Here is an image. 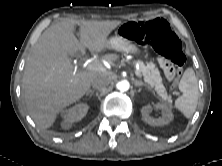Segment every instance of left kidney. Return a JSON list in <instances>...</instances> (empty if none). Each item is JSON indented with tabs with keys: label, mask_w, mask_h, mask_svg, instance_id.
I'll return each instance as SVG.
<instances>
[{
	"label": "left kidney",
	"mask_w": 222,
	"mask_h": 166,
	"mask_svg": "<svg viewBox=\"0 0 222 166\" xmlns=\"http://www.w3.org/2000/svg\"><path fill=\"white\" fill-rule=\"evenodd\" d=\"M155 107L162 111V117L154 119L149 115V112L151 110V106L146 105V106L142 107L141 114H142V117L146 123H148L152 126H163V125L170 123L173 120V114H172L170 108L166 104L158 103L155 105Z\"/></svg>",
	"instance_id": "5707ae66"
}]
</instances>
